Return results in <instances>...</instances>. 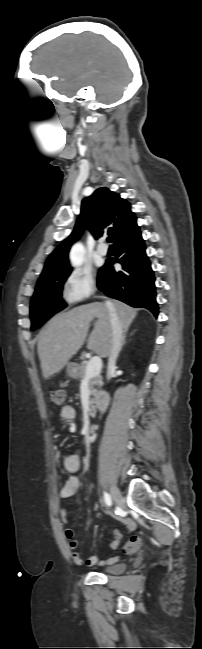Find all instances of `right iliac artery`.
<instances>
[{
  "label": "right iliac artery",
  "instance_id": "82829eb1",
  "mask_svg": "<svg viewBox=\"0 0 202 649\" xmlns=\"http://www.w3.org/2000/svg\"><path fill=\"white\" fill-rule=\"evenodd\" d=\"M104 501L108 506L112 505V499H111L110 495L108 493H106V492H104Z\"/></svg>",
  "mask_w": 202,
  "mask_h": 649
}]
</instances>
